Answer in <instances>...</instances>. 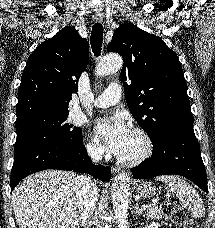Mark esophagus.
Instances as JSON below:
<instances>
[{
	"label": "esophagus",
	"instance_id": "34e87169",
	"mask_svg": "<svg viewBox=\"0 0 215 228\" xmlns=\"http://www.w3.org/2000/svg\"><path fill=\"white\" fill-rule=\"evenodd\" d=\"M94 17H95V19H96L97 22H102L104 15L103 14H95ZM112 172L113 173H118L119 170L117 168L113 167L112 168Z\"/></svg>",
	"mask_w": 215,
	"mask_h": 228
}]
</instances>
